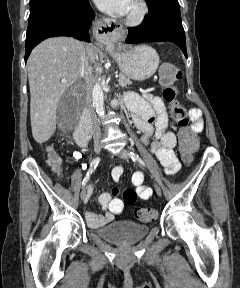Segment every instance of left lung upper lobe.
<instances>
[{
  "label": "left lung upper lobe",
  "instance_id": "1",
  "mask_svg": "<svg viewBox=\"0 0 240 288\" xmlns=\"http://www.w3.org/2000/svg\"><path fill=\"white\" fill-rule=\"evenodd\" d=\"M145 1L147 2V4H150V1H151V0H145Z\"/></svg>",
  "mask_w": 240,
  "mask_h": 288
}]
</instances>
